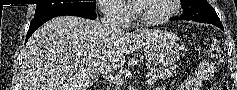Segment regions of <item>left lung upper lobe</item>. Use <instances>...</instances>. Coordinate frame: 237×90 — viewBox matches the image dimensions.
Here are the masks:
<instances>
[{
  "mask_svg": "<svg viewBox=\"0 0 237 90\" xmlns=\"http://www.w3.org/2000/svg\"><path fill=\"white\" fill-rule=\"evenodd\" d=\"M184 20L221 25L215 10L206 0H181Z\"/></svg>",
  "mask_w": 237,
  "mask_h": 90,
  "instance_id": "left-lung-upper-lobe-1",
  "label": "left lung upper lobe"
}]
</instances>
